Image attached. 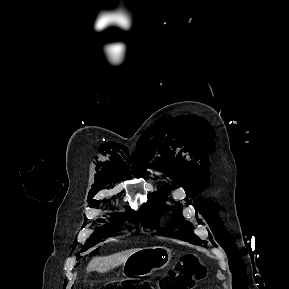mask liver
Returning <instances> with one entry per match:
<instances>
[{
	"instance_id": "liver-1",
	"label": "liver",
	"mask_w": 289,
	"mask_h": 289,
	"mask_svg": "<svg viewBox=\"0 0 289 289\" xmlns=\"http://www.w3.org/2000/svg\"><path fill=\"white\" fill-rule=\"evenodd\" d=\"M140 249H131L124 252L116 253L107 257L93 258L87 266V272L96 270L99 273L107 272L124 263L131 255Z\"/></svg>"
}]
</instances>
